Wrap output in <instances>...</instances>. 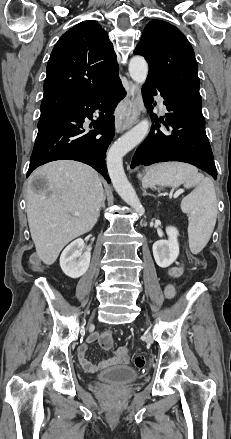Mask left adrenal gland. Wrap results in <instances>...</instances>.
<instances>
[{
    "mask_svg": "<svg viewBox=\"0 0 231 439\" xmlns=\"http://www.w3.org/2000/svg\"><path fill=\"white\" fill-rule=\"evenodd\" d=\"M143 195H144V196L147 195L146 191L143 192Z\"/></svg>",
    "mask_w": 231,
    "mask_h": 439,
    "instance_id": "obj_1",
    "label": "left adrenal gland"
}]
</instances>
